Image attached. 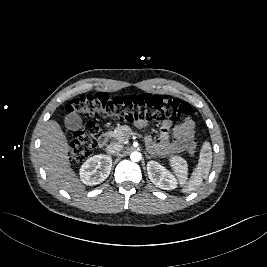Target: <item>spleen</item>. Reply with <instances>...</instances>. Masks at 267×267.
<instances>
[{
  "mask_svg": "<svg viewBox=\"0 0 267 267\" xmlns=\"http://www.w3.org/2000/svg\"><path fill=\"white\" fill-rule=\"evenodd\" d=\"M212 164V151L211 145L208 141H205L201 147L199 162L192 173L191 179L187 182V164L181 158H175L172 162V166L177 173L180 184L184 185L183 192L191 193L202 185L203 178L207 177Z\"/></svg>",
  "mask_w": 267,
  "mask_h": 267,
  "instance_id": "3e777b00",
  "label": "spleen"
}]
</instances>
